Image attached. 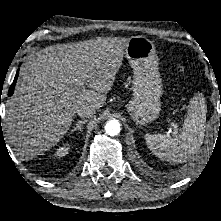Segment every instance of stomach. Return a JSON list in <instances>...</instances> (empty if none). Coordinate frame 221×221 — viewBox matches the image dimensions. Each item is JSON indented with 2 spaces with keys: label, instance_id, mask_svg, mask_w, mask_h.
<instances>
[{
  "label": "stomach",
  "instance_id": "obj_1",
  "mask_svg": "<svg viewBox=\"0 0 221 221\" xmlns=\"http://www.w3.org/2000/svg\"><path fill=\"white\" fill-rule=\"evenodd\" d=\"M125 56L133 69V98L127 112L140 126L155 121L161 111L163 85L158 71L159 59L155 45L143 36H133L125 48Z\"/></svg>",
  "mask_w": 221,
  "mask_h": 221
}]
</instances>
